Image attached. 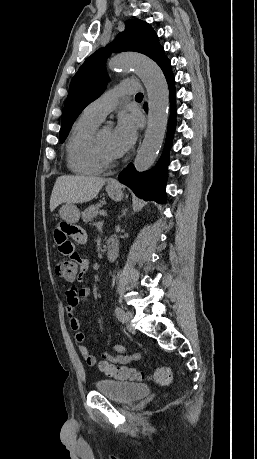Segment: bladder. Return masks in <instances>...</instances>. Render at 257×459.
Returning a JSON list of instances; mask_svg holds the SVG:
<instances>
[{"mask_svg":"<svg viewBox=\"0 0 257 459\" xmlns=\"http://www.w3.org/2000/svg\"><path fill=\"white\" fill-rule=\"evenodd\" d=\"M95 389L113 401L132 404L149 394V387L138 382H122L101 379L95 383Z\"/></svg>","mask_w":257,"mask_h":459,"instance_id":"bladder-1","label":"bladder"}]
</instances>
